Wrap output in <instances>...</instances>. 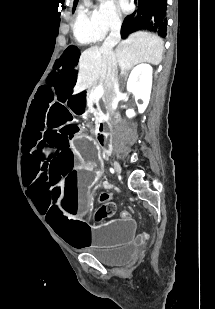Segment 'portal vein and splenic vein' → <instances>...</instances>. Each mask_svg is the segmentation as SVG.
Instances as JSON below:
<instances>
[{
	"label": "portal vein and splenic vein",
	"instance_id": "portal-vein-and-splenic-vein-1",
	"mask_svg": "<svg viewBox=\"0 0 215 309\" xmlns=\"http://www.w3.org/2000/svg\"><path fill=\"white\" fill-rule=\"evenodd\" d=\"M104 90H103V86H96L94 92H92V94H95V96H102Z\"/></svg>",
	"mask_w": 215,
	"mask_h": 309
}]
</instances>
